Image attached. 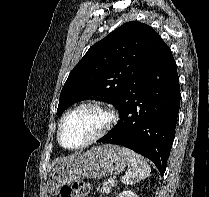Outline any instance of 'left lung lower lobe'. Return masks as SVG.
<instances>
[{
  "mask_svg": "<svg viewBox=\"0 0 209 197\" xmlns=\"http://www.w3.org/2000/svg\"><path fill=\"white\" fill-rule=\"evenodd\" d=\"M180 99L176 62L165 44L117 107L118 124L98 142L134 150L152 160L163 175L174 140Z\"/></svg>",
  "mask_w": 209,
  "mask_h": 197,
  "instance_id": "obj_1",
  "label": "left lung lower lobe"
}]
</instances>
